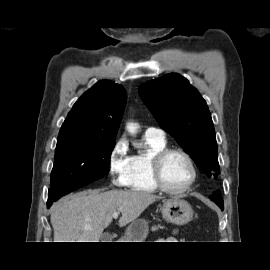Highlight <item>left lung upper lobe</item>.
Here are the masks:
<instances>
[{"label":"left lung upper lobe","mask_w":270,"mask_h":270,"mask_svg":"<svg viewBox=\"0 0 270 270\" xmlns=\"http://www.w3.org/2000/svg\"><path fill=\"white\" fill-rule=\"evenodd\" d=\"M139 93L160 127L175 138L212 179L219 174L215 130L206 101L177 73L142 84Z\"/></svg>","instance_id":"1"}]
</instances>
